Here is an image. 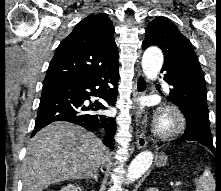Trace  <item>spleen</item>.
Listing matches in <instances>:
<instances>
[{
    "label": "spleen",
    "instance_id": "1",
    "mask_svg": "<svg viewBox=\"0 0 221 191\" xmlns=\"http://www.w3.org/2000/svg\"><path fill=\"white\" fill-rule=\"evenodd\" d=\"M196 191H215V180L209 169L195 179Z\"/></svg>",
    "mask_w": 221,
    "mask_h": 191
}]
</instances>
